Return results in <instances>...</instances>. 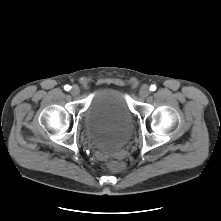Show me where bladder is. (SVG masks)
<instances>
[{
	"instance_id": "1",
	"label": "bladder",
	"mask_w": 221,
	"mask_h": 221,
	"mask_svg": "<svg viewBox=\"0 0 221 221\" xmlns=\"http://www.w3.org/2000/svg\"><path fill=\"white\" fill-rule=\"evenodd\" d=\"M134 128V115L124 94L113 87H99L91 95L83 118V131L93 147L114 154Z\"/></svg>"
}]
</instances>
